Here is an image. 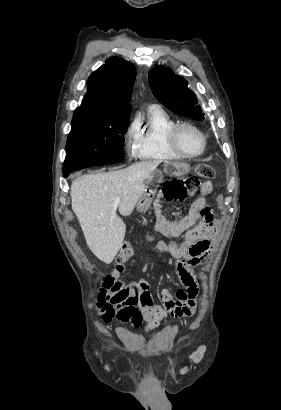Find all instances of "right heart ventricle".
Segmentation results:
<instances>
[{
    "instance_id": "e07e8e85",
    "label": "right heart ventricle",
    "mask_w": 281,
    "mask_h": 410,
    "mask_svg": "<svg viewBox=\"0 0 281 410\" xmlns=\"http://www.w3.org/2000/svg\"><path fill=\"white\" fill-rule=\"evenodd\" d=\"M177 124L165 110L151 106L139 121L136 155L142 160L165 161L182 158L169 143V132Z\"/></svg>"
}]
</instances>
